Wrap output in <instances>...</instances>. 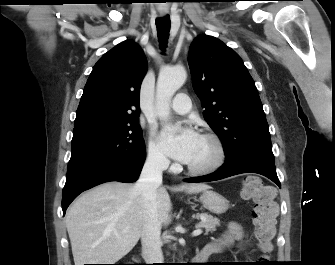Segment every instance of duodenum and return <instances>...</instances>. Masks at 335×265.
Listing matches in <instances>:
<instances>
[{
    "label": "duodenum",
    "instance_id": "duodenum-1",
    "mask_svg": "<svg viewBox=\"0 0 335 265\" xmlns=\"http://www.w3.org/2000/svg\"><path fill=\"white\" fill-rule=\"evenodd\" d=\"M216 251H217V249L215 247L208 244L200 251V253L196 256L195 260L197 262L206 261L208 259V257Z\"/></svg>",
    "mask_w": 335,
    "mask_h": 265
}]
</instances>
